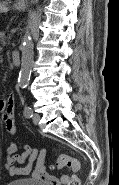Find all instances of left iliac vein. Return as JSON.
Here are the masks:
<instances>
[{
    "mask_svg": "<svg viewBox=\"0 0 119 185\" xmlns=\"http://www.w3.org/2000/svg\"><path fill=\"white\" fill-rule=\"evenodd\" d=\"M32 120H33V123H34L35 125H38L39 120H40V115L37 114V113H34L33 116H32Z\"/></svg>",
    "mask_w": 119,
    "mask_h": 185,
    "instance_id": "left-iliac-vein-1",
    "label": "left iliac vein"
}]
</instances>
